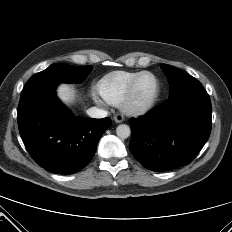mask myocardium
<instances>
[{
	"label": "myocardium",
	"instance_id": "1",
	"mask_svg": "<svg viewBox=\"0 0 232 232\" xmlns=\"http://www.w3.org/2000/svg\"><path fill=\"white\" fill-rule=\"evenodd\" d=\"M151 76L152 79L154 80L155 83V90L154 93L152 94V96L150 97L149 100H147L144 103L141 104H137L134 102L133 97H134V92L136 89V86L139 82V80L145 76ZM160 94V83L158 78L151 72L149 71H142L140 72L135 78L134 80L131 82L128 90L126 91L121 103H120V109L123 113L127 114V115H142L144 113H146L147 111H149L154 104L156 103L158 97Z\"/></svg>",
	"mask_w": 232,
	"mask_h": 232
}]
</instances>
